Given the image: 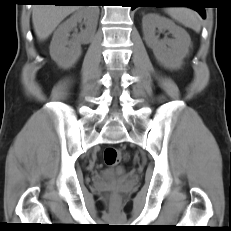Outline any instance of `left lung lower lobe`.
I'll use <instances>...</instances> for the list:
<instances>
[{
  "instance_id": "0a47b994",
  "label": "left lung lower lobe",
  "mask_w": 231,
  "mask_h": 231,
  "mask_svg": "<svg viewBox=\"0 0 231 231\" xmlns=\"http://www.w3.org/2000/svg\"><path fill=\"white\" fill-rule=\"evenodd\" d=\"M164 0H134L135 5L132 6V9L138 7V6H142V7H157L156 4H158V2H161ZM192 6H188L190 8L195 9L196 11H198L200 13V15L205 18V10L204 7H197V3L196 2H192L190 3Z\"/></svg>"
}]
</instances>
